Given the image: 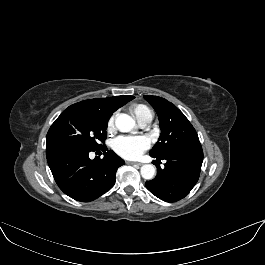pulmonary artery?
Returning <instances> with one entry per match:
<instances>
[{
    "label": "pulmonary artery",
    "instance_id": "e3ab8cb5",
    "mask_svg": "<svg viewBox=\"0 0 265 265\" xmlns=\"http://www.w3.org/2000/svg\"><path fill=\"white\" fill-rule=\"evenodd\" d=\"M139 123L142 127H146L150 123V121H141Z\"/></svg>",
    "mask_w": 265,
    "mask_h": 265
}]
</instances>
